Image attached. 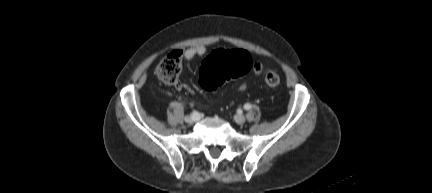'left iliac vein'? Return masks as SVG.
I'll use <instances>...</instances> for the list:
<instances>
[{"instance_id": "4c4485c4", "label": "left iliac vein", "mask_w": 432, "mask_h": 193, "mask_svg": "<svg viewBox=\"0 0 432 193\" xmlns=\"http://www.w3.org/2000/svg\"><path fill=\"white\" fill-rule=\"evenodd\" d=\"M234 120L237 124H243L246 121V118L244 115L238 114L235 116Z\"/></svg>"}]
</instances>
